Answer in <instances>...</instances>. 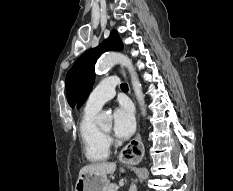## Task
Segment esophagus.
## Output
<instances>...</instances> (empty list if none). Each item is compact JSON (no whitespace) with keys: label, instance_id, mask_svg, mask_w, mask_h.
Returning a JSON list of instances; mask_svg holds the SVG:
<instances>
[{"label":"esophagus","instance_id":"1","mask_svg":"<svg viewBox=\"0 0 233 191\" xmlns=\"http://www.w3.org/2000/svg\"><path fill=\"white\" fill-rule=\"evenodd\" d=\"M120 73L126 78L125 71L120 68ZM127 79V78H126ZM130 90V86H129ZM144 146L142 143L141 135L138 132L134 139H132L120 152V159H122L123 164H138L140 158L138 156H143Z\"/></svg>","mask_w":233,"mask_h":191}]
</instances>
